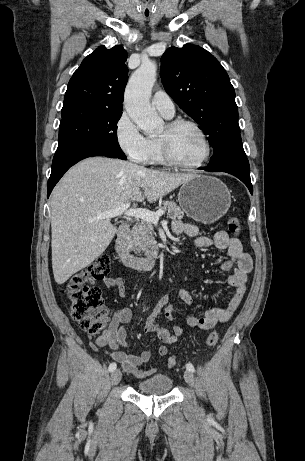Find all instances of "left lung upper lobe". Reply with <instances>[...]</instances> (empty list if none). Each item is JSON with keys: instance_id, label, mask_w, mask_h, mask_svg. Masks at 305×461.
Here are the masks:
<instances>
[{"instance_id": "left-lung-upper-lobe-1", "label": "left lung upper lobe", "mask_w": 305, "mask_h": 461, "mask_svg": "<svg viewBox=\"0 0 305 461\" xmlns=\"http://www.w3.org/2000/svg\"><path fill=\"white\" fill-rule=\"evenodd\" d=\"M166 92L208 136L213 156L208 167L236 162L249 168L242 147L235 91L225 69L205 49L191 44L170 47L161 58Z\"/></svg>"}]
</instances>
